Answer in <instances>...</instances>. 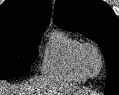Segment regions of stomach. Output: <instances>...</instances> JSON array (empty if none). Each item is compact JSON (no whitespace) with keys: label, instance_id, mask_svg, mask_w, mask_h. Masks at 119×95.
Listing matches in <instances>:
<instances>
[{"label":"stomach","instance_id":"stomach-1","mask_svg":"<svg viewBox=\"0 0 119 95\" xmlns=\"http://www.w3.org/2000/svg\"><path fill=\"white\" fill-rule=\"evenodd\" d=\"M72 95H88L87 93L85 92H80V91H77V92H73Z\"/></svg>","mask_w":119,"mask_h":95}]
</instances>
